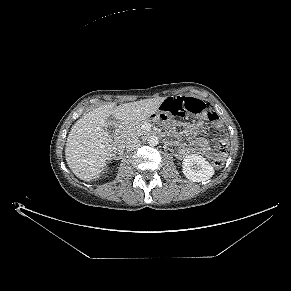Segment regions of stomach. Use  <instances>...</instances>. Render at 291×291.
<instances>
[{
  "instance_id": "0dacf381",
  "label": "stomach",
  "mask_w": 291,
  "mask_h": 291,
  "mask_svg": "<svg viewBox=\"0 0 291 291\" xmlns=\"http://www.w3.org/2000/svg\"><path fill=\"white\" fill-rule=\"evenodd\" d=\"M170 116L164 112L157 111L149 117V120L155 123H165Z\"/></svg>"
}]
</instances>
